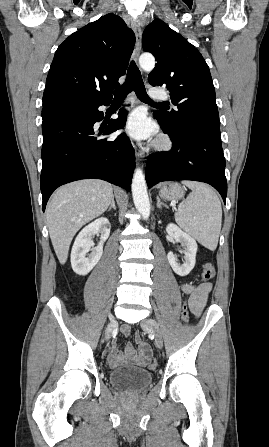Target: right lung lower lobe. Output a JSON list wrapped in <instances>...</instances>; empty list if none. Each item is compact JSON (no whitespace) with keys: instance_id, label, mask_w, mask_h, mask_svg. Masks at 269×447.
Masks as SVG:
<instances>
[{"instance_id":"right-lung-lower-lobe-1","label":"right lung lower lobe","mask_w":269,"mask_h":447,"mask_svg":"<svg viewBox=\"0 0 269 447\" xmlns=\"http://www.w3.org/2000/svg\"><path fill=\"white\" fill-rule=\"evenodd\" d=\"M111 99L91 97L43 106V211L56 188L75 180L98 178L130 190L135 153L129 138L122 134L115 140L101 139L124 127L127 112L119 111L105 129L93 128L104 116L98 107L109 105Z\"/></svg>"}]
</instances>
